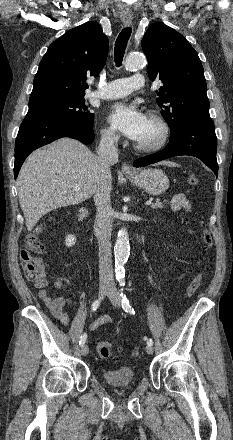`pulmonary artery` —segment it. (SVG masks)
Here are the masks:
<instances>
[{
	"instance_id": "1",
	"label": "pulmonary artery",
	"mask_w": 233,
	"mask_h": 440,
	"mask_svg": "<svg viewBox=\"0 0 233 440\" xmlns=\"http://www.w3.org/2000/svg\"><path fill=\"white\" fill-rule=\"evenodd\" d=\"M144 77L134 74L128 78H121L100 86L93 95L101 99H117L128 96L133 91L142 88Z\"/></svg>"
}]
</instances>
